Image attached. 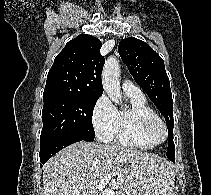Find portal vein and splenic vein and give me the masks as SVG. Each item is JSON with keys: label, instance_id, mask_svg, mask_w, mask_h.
<instances>
[{"label": "portal vein and splenic vein", "instance_id": "18ae733b", "mask_svg": "<svg viewBox=\"0 0 211 195\" xmlns=\"http://www.w3.org/2000/svg\"><path fill=\"white\" fill-rule=\"evenodd\" d=\"M117 175H119V174L113 173L112 175L107 176L105 179H103V181L101 182L102 184L99 186V190H98L99 195H101V194L102 195H114V193L111 190L104 189V184L111 178V176H117Z\"/></svg>", "mask_w": 211, "mask_h": 195}]
</instances>
